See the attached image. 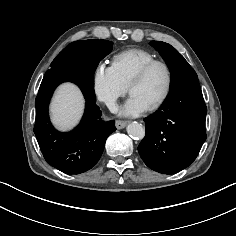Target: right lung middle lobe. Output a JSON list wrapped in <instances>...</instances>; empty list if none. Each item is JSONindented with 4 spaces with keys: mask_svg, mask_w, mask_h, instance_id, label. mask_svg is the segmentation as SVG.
<instances>
[{
    "mask_svg": "<svg viewBox=\"0 0 236 236\" xmlns=\"http://www.w3.org/2000/svg\"><path fill=\"white\" fill-rule=\"evenodd\" d=\"M112 51L107 40L75 41L63 49L51 63L52 69H84L94 74L98 63Z\"/></svg>",
    "mask_w": 236,
    "mask_h": 236,
    "instance_id": "1",
    "label": "right lung middle lobe"
}]
</instances>
